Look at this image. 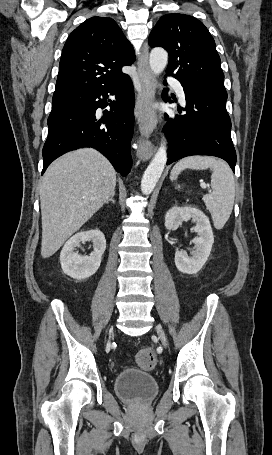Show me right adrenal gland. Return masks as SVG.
I'll use <instances>...</instances> for the list:
<instances>
[{"mask_svg": "<svg viewBox=\"0 0 272 455\" xmlns=\"http://www.w3.org/2000/svg\"><path fill=\"white\" fill-rule=\"evenodd\" d=\"M114 196H115V192L112 193L110 198L106 201V204H108L109 202H112L114 204L115 203Z\"/></svg>", "mask_w": 272, "mask_h": 455, "instance_id": "right-adrenal-gland-1", "label": "right adrenal gland"}]
</instances>
